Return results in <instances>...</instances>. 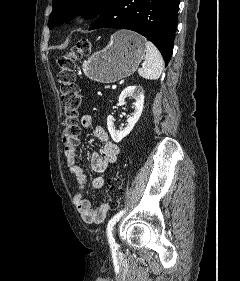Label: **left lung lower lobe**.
I'll return each mask as SVG.
<instances>
[{
	"mask_svg": "<svg viewBox=\"0 0 240 281\" xmlns=\"http://www.w3.org/2000/svg\"><path fill=\"white\" fill-rule=\"evenodd\" d=\"M180 0H111L89 30L119 28L149 39L161 52L165 65L173 51Z\"/></svg>",
	"mask_w": 240,
	"mask_h": 281,
	"instance_id": "left-lung-lower-lobe-1",
	"label": "left lung lower lobe"
}]
</instances>
